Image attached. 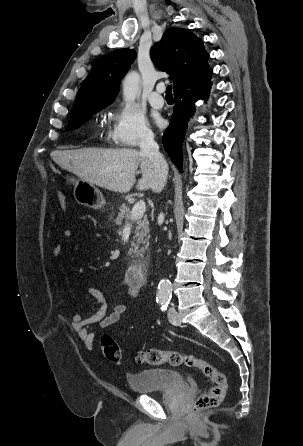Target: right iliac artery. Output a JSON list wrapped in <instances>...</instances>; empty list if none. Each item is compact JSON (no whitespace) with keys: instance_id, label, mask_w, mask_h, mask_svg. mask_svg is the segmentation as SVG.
Returning a JSON list of instances; mask_svg holds the SVG:
<instances>
[{"instance_id":"obj_1","label":"right iliac artery","mask_w":303,"mask_h":446,"mask_svg":"<svg viewBox=\"0 0 303 446\" xmlns=\"http://www.w3.org/2000/svg\"><path fill=\"white\" fill-rule=\"evenodd\" d=\"M157 302H158V301H157ZM163 302H164V300H160V301H159L160 304H163Z\"/></svg>"}]
</instances>
